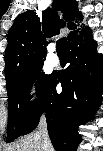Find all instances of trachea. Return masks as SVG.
<instances>
[{"label":"trachea","mask_w":103,"mask_h":151,"mask_svg":"<svg viewBox=\"0 0 103 151\" xmlns=\"http://www.w3.org/2000/svg\"><path fill=\"white\" fill-rule=\"evenodd\" d=\"M56 49L59 55H66V38L65 37L57 41Z\"/></svg>","instance_id":"1"}]
</instances>
